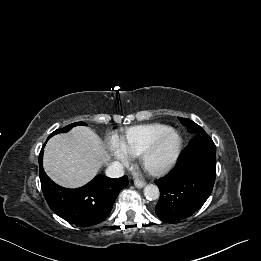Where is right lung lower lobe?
Here are the masks:
<instances>
[{"instance_id":"right-lung-lower-lobe-1","label":"right lung lower lobe","mask_w":261,"mask_h":261,"mask_svg":"<svg viewBox=\"0 0 261 261\" xmlns=\"http://www.w3.org/2000/svg\"><path fill=\"white\" fill-rule=\"evenodd\" d=\"M44 146L39 154V175L49 207L61 218L80 226L102 222L109 215L119 192L127 187L128 177L112 179L97 175L88 184L77 189L60 187L44 172L42 164Z\"/></svg>"}]
</instances>
